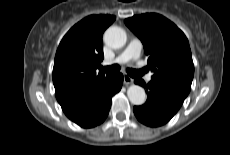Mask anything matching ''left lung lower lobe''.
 Masks as SVG:
<instances>
[{"mask_svg":"<svg viewBox=\"0 0 230 155\" xmlns=\"http://www.w3.org/2000/svg\"><path fill=\"white\" fill-rule=\"evenodd\" d=\"M134 82L147 88V101L142 106L133 108L136 118L144 125L158 127L166 124L180 109L185 98L150 81L141 79Z\"/></svg>","mask_w":230,"mask_h":155,"instance_id":"left-lung-lower-lobe-1","label":"left lung lower lobe"}]
</instances>
